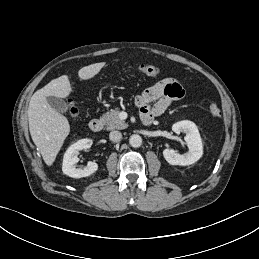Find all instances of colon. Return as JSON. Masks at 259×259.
<instances>
[{
    "instance_id": "obj_1",
    "label": "colon",
    "mask_w": 259,
    "mask_h": 259,
    "mask_svg": "<svg viewBox=\"0 0 259 259\" xmlns=\"http://www.w3.org/2000/svg\"><path fill=\"white\" fill-rule=\"evenodd\" d=\"M132 70L138 74H142L146 76H156L159 73V69L156 66L148 65V64H142V65L136 66ZM209 112L214 117H218L221 115L220 108L215 104H211L209 106ZM67 114L72 119H75L78 116V108L72 101L67 102Z\"/></svg>"
}]
</instances>
